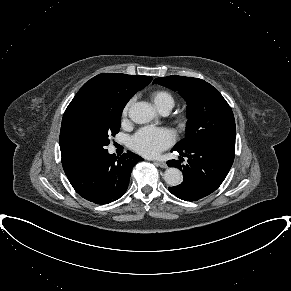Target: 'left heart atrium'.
<instances>
[{"label": "left heart atrium", "instance_id": "obj_1", "mask_svg": "<svg viewBox=\"0 0 291 291\" xmlns=\"http://www.w3.org/2000/svg\"><path fill=\"white\" fill-rule=\"evenodd\" d=\"M173 141L174 137L170 130L147 126L139 129L130 138L129 145L146 157H154L168 148Z\"/></svg>", "mask_w": 291, "mask_h": 291}]
</instances>
